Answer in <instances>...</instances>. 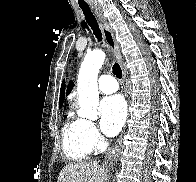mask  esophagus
<instances>
[{"label":"esophagus","mask_w":196,"mask_h":182,"mask_svg":"<svg viewBox=\"0 0 196 182\" xmlns=\"http://www.w3.org/2000/svg\"><path fill=\"white\" fill-rule=\"evenodd\" d=\"M96 16L98 17V20L100 21V26L104 35V39L108 45V47L112 50L114 53L116 59L120 63L123 71V79L126 80V69L124 67L121 50L119 47L118 42L115 39L114 33L111 30L106 18L103 16L101 10L99 8L94 9ZM120 144L121 139H118L116 145L107 153L106 157L104 158V164L111 163L119 154L120 152Z\"/></svg>","instance_id":"esophagus-1"}]
</instances>
